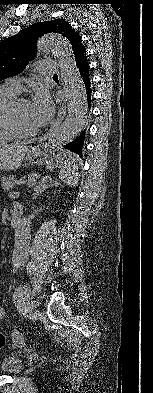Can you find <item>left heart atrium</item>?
Here are the masks:
<instances>
[{
	"instance_id": "39dd6f15",
	"label": "left heart atrium",
	"mask_w": 153,
	"mask_h": 393,
	"mask_svg": "<svg viewBox=\"0 0 153 393\" xmlns=\"http://www.w3.org/2000/svg\"><path fill=\"white\" fill-rule=\"evenodd\" d=\"M30 109L32 120L37 126L46 124L54 113L51 99L43 92L37 94Z\"/></svg>"
}]
</instances>
